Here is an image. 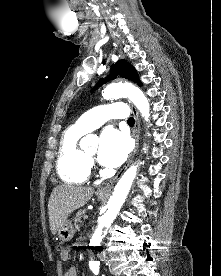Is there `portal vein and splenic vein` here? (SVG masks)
<instances>
[{
    "label": "portal vein and splenic vein",
    "instance_id": "obj_1",
    "mask_svg": "<svg viewBox=\"0 0 221 276\" xmlns=\"http://www.w3.org/2000/svg\"><path fill=\"white\" fill-rule=\"evenodd\" d=\"M83 218H84V219H87V218H88V215L85 214Z\"/></svg>",
    "mask_w": 221,
    "mask_h": 276
}]
</instances>
